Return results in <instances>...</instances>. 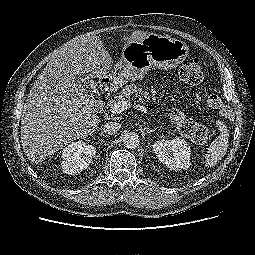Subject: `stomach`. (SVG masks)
<instances>
[{
    "instance_id": "1",
    "label": "stomach",
    "mask_w": 255,
    "mask_h": 255,
    "mask_svg": "<svg viewBox=\"0 0 255 255\" xmlns=\"http://www.w3.org/2000/svg\"><path fill=\"white\" fill-rule=\"evenodd\" d=\"M188 50L185 42L155 33L141 40L126 42L121 50V61L108 77L109 85L114 89L120 88L143 78L152 67L175 68L186 59Z\"/></svg>"
}]
</instances>
